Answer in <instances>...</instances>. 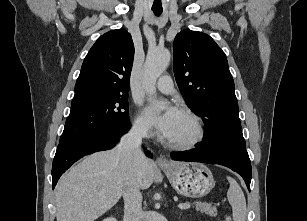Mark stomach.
<instances>
[{
    "instance_id": "1",
    "label": "stomach",
    "mask_w": 307,
    "mask_h": 221,
    "mask_svg": "<svg viewBox=\"0 0 307 221\" xmlns=\"http://www.w3.org/2000/svg\"><path fill=\"white\" fill-rule=\"evenodd\" d=\"M163 171L175 190L187 197H203L214 187L212 172L201 163L173 162Z\"/></svg>"
}]
</instances>
